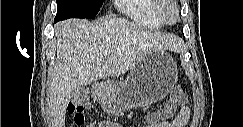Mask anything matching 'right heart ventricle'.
Here are the masks:
<instances>
[{
    "instance_id": "right-heart-ventricle-1",
    "label": "right heart ventricle",
    "mask_w": 243,
    "mask_h": 127,
    "mask_svg": "<svg viewBox=\"0 0 243 127\" xmlns=\"http://www.w3.org/2000/svg\"><path fill=\"white\" fill-rule=\"evenodd\" d=\"M161 0H120L119 11L134 24L149 28L160 29L164 22L158 15Z\"/></svg>"
}]
</instances>
